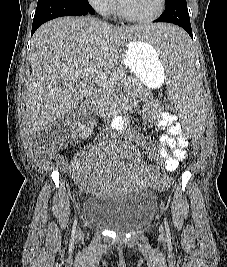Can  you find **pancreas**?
<instances>
[{
    "mask_svg": "<svg viewBox=\"0 0 227 267\" xmlns=\"http://www.w3.org/2000/svg\"><path fill=\"white\" fill-rule=\"evenodd\" d=\"M113 77L109 83L104 85H98L96 95L93 100V105L96 111L108 110L116 101L115 83L122 81L125 85L132 89L142 88V84L139 80L132 75H127L123 70H117L111 74Z\"/></svg>",
    "mask_w": 227,
    "mask_h": 267,
    "instance_id": "obj_1",
    "label": "pancreas"
}]
</instances>
